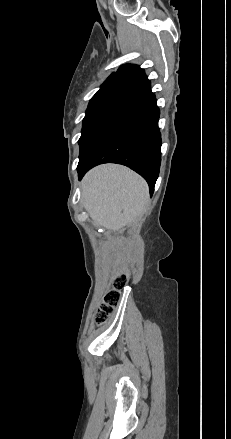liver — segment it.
<instances>
[{"label": "liver", "mask_w": 231, "mask_h": 439, "mask_svg": "<svg viewBox=\"0 0 231 439\" xmlns=\"http://www.w3.org/2000/svg\"><path fill=\"white\" fill-rule=\"evenodd\" d=\"M82 201L97 226L107 235L121 232L141 215L149 202L146 181L127 167L105 164L91 169L82 181Z\"/></svg>", "instance_id": "1"}]
</instances>
